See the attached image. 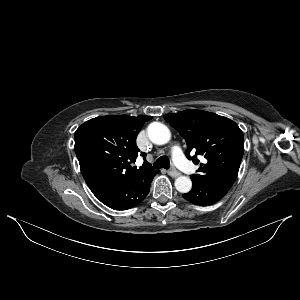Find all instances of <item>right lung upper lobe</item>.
<instances>
[{
    "instance_id": "right-lung-upper-lobe-1",
    "label": "right lung upper lobe",
    "mask_w": 300,
    "mask_h": 300,
    "mask_svg": "<svg viewBox=\"0 0 300 300\" xmlns=\"http://www.w3.org/2000/svg\"><path fill=\"white\" fill-rule=\"evenodd\" d=\"M151 116L96 117L75 132V153L82 175L93 193L111 189L129 180L158 172L144 164L131 166L139 154L135 145L138 132ZM143 158L145 153H141ZM147 163V162H145Z\"/></svg>"
}]
</instances>
